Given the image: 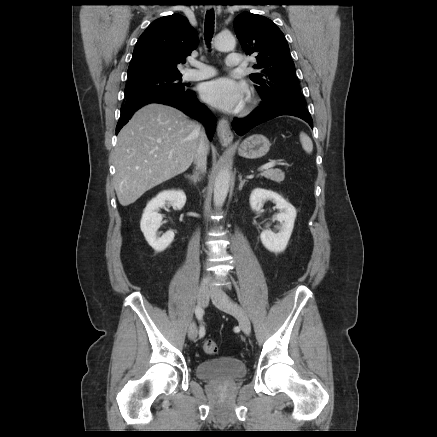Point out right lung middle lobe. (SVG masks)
<instances>
[{
    "mask_svg": "<svg viewBox=\"0 0 437 437\" xmlns=\"http://www.w3.org/2000/svg\"><path fill=\"white\" fill-rule=\"evenodd\" d=\"M181 74H136L128 76L125 87L126 101L156 93H185Z\"/></svg>",
    "mask_w": 437,
    "mask_h": 437,
    "instance_id": "1",
    "label": "right lung middle lobe"
}]
</instances>
